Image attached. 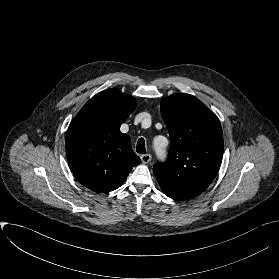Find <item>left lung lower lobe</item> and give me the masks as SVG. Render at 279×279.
<instances>
[{
    "instance_id": "obj_1",
    "label": "left lung lower lobe",
    "mask_w": 279,
    "mask_h": 279,
    "mask_svg": "<svg viewBox=\"0 0 279 279\" xmlns=\"http://www.w3.org/2000/svg\"><path fill=\"white\" fill-rule=\"evenodd\" d=\"M165 193V192H164ZM168 197L174 199V200H188L187 198L185 197H181V196H177V195H173V194H170V193H165Z\"/></svg>"
}]
</instances>
